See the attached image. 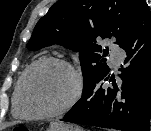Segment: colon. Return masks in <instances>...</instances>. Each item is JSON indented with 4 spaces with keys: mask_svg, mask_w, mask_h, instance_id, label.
Segmentation results:
<instances>
[{
    "mask_svg": "<svg viewBox=\"0 0 151 131\" xmlns=\"http://www.w3.org/2000/svg\"><path fill=\"white\" fill-rule=\"evenodd\" d=\"M13 131H32L30 128L26 126H16Z\"/></svg>",
    "mask_w": 151,
    "mask_h": 131,
    "instance_id": "1",
    "label": "colon"
}]
</instances>
